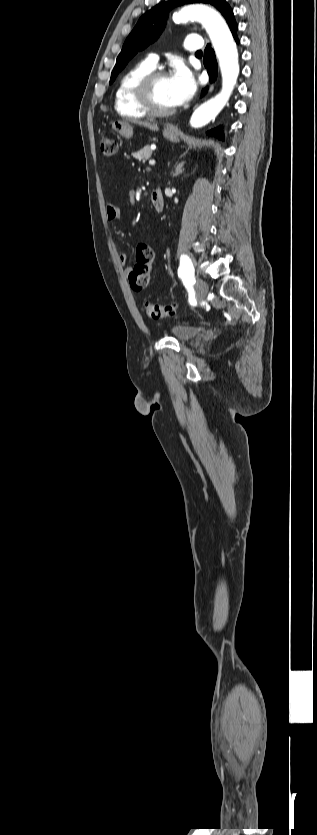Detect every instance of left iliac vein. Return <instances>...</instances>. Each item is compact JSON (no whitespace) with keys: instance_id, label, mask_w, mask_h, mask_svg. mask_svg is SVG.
I'll return each mask as SVG.
<instances>
[{"instance_id":"1","label":"left iliac vein","mask_w":317,"mask_h":835,"mask_svg":"<svg viewBox=\"0 0 317 835\" xmlns=\"http://www.w3.org/2000/svg\"><path fill=\"white\" fill-rule=\"evenodd\" d=\"M195 291L197 300L201 302L203 299H205L208 293L207 283L203 279L198 278L195 286Z\"/></svg>"}]
</instances>
